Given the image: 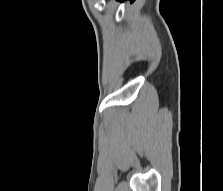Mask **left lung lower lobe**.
Listing matches in <instances>:
<instances>
[{
    "instance_id": "left-lung-lower-lobe-1",
    "label": "left lung lower lobe",
    "mask_w": 223,
    "mask_h": 191,
    "mask_svg": "<svg viewBox=\"0 0 223 191\" xmlns=\"http://www.w3.org/2000/svg\"><path fill=\"white\" fill-rule=\"evenodd\" d=\"M119 1H125V0H119ZM131 2H133L134 0H130Z\"/></svg>"
}]
</instances>
